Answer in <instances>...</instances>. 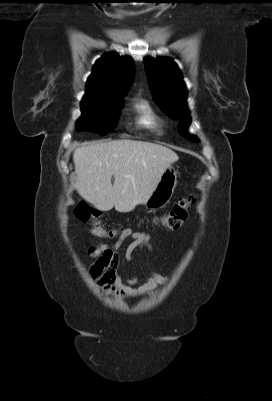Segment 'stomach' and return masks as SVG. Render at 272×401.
Returning a JSON list of instances; mask_svg holds the SVG:
<instances>
[{
  "mask_svg": "<svg viewBox=\"0 0 272 401\" xmlns=\"http://www.w3.org/2000/svg\"><path fill=\"white\" fill-rule=\"evenodd\" d=\"M177 185V172L169 166L162 174L151 196L144 202L147 209L157 210L167 205Z\"/></svg>",
  "mask_w": 272,
  "mask_h": 401,
  "instance_id": "0dacf381",
  "label": "stomach"
}]
</instances>
